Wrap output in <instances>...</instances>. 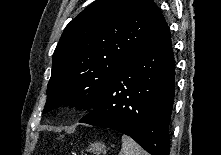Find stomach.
<instances>
[{
	"label": "stomach",
	"instance_id": "1",
	"mask_svg": "<svg viewBox=\"0 0 221 155\" xmlns=\"http://www.w3.org/2000/svg\"><path fill=\"white\" fill-rule=\"evenodd\" d=\"M89 151L93 155H106V146L101 142H94L89 146Z\"/></svg>",
	"mask_w": 221,
	"mask_h": 155
}]
</instances>
